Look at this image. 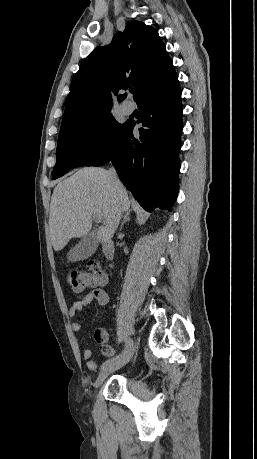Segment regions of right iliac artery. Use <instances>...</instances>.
I'll use <instances>...</instances> for the list:
<instances>
[{
	"label": "right iliac artery",
	"instance_id": "right-iliac-artery-1",
	"mask_svg": "<svg viewBox=\"0 0 257 459\" xmlns=\"http://www.w3.org/2000/svg\"><path fill=\"white\" fill-rule=\"evenodd\" d=\"M133 344V341L131 338H126L125 339V349L123 350V352L115 357H112L108 360H106L102 366H101V370H104L105 368H107L108 366L118 362L121 358H123L127 353L128 351L130 350L131 346Z\"/></svg>",
	"mask_w": 257,
	"mask_h": 459
}]
</instances>
